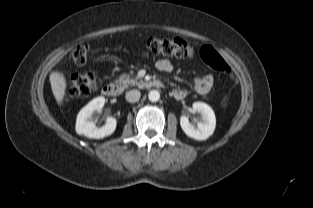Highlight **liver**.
<instances>
[{
  "instance_id": "liver-1",
  "label": "liver",
  "mask_w": 313,
  "mask_h": 208,
  "mask_svg": "<svg viewBox=\"0 0 313 208\" xmlns=\"http://www.w3.org/2000/svg\"><path fill=\"white\" fill-rule=\"evenodd\" d=\"M49 79H50V84H51L53 95L57 103L61 105L66 95V87H67L66 78L63 75V73L53 71L51 72Z\"/></svg>"
}]
</instances>
